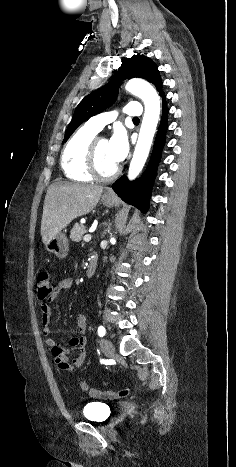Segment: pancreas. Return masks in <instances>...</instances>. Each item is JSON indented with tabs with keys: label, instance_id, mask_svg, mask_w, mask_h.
Listing matches in <instances>:
<instances>
[{
	"label": "pancreas",
	"instance_id": "1",
	"mask_svg": "<svg viewBox=\"0 0 236 467\" xmlns=\"http://www.w3.org/2000/svg\"><path fill=\"white\" fill-rule=\"evenodd\" d=\"M85 233V227L80 223H76L70 232V239L75 242H80Z\"/></svg>",
	"mask_w": 236,
	"mask_h": 467
}]
</instances>
